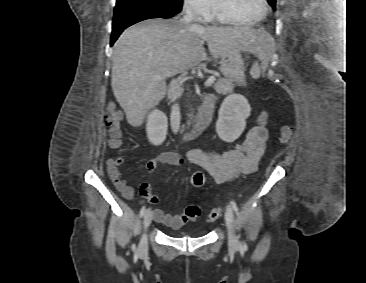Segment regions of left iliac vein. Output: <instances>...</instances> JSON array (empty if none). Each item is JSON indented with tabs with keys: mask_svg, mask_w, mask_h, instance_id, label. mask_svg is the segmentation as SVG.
<instances>
[{
	"mask_svg": "<svg viewBox=\"0 0 366 283\" xmlns=\"http://www.w3.org/2000/svg\"><path fill=\"white\" fill-rule=\"evenodd\" d=\"M225 220L228 228V244L231 248H238V238L234 232V215L232 208L228 205L225 209Z\"/></svg>",
	"mask_w": 366,
	"mask_h": 283,
	"instance_id": "1",
	"label": "left iliac vein"
}]
</instances>
